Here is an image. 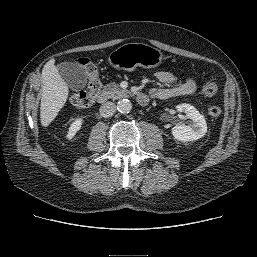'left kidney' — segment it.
<instances>
[{"label": "left kidney", "instance_id": "1", "mask_svg": "<svg viewBox=\"0 0 257 257\" xmlns=\"http://www.w3.org/2000/svg\"><path fill=\"white\" fill-rule=\"evenodd\" d=\"M177 111L184 112L192 122L188 125L178 124L172 128L175 139L181 142L195 141L202 138L207 132V123L202 114L190 104H179Z\"/></svg>", "mask_w": 257, "mask_h": 257}]
</instances>
